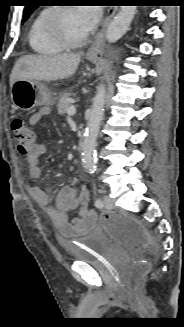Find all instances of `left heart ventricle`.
<instances>
[{
    "mask_svg": "<svg viewBox=\"0 0 184 327\" xmlns=\"http://www.w3.org/2000/svg\"><path fill=\"white\" fill-rule=\"evenodd\" d=\"M61 24L70 39L77 40L88 33L76 9L65 12L61 17Z\"/></svg>",
    "mask_w": 184,
    "mask_h": 327,
    "instance_id": "1",
    "label": "left heart ventricle"
}]
</instances>
